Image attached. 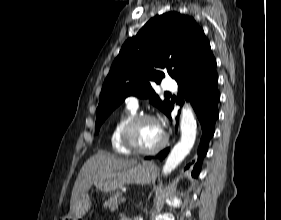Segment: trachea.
<instances>
[{
    "label": "trachea",
    "mask_w": 281,
    "mask_h": 220,
    "mask_svg": "<svg viewBox=\"0 0 281 220\" xmlns=\"http://www.w3.org/2000/svg\"><path fill=\"white\" fill-rule=\"evenodd\" d=\"M166 95H171L170 93H166Z\"/></svg>",
    "instance_id": "1"
}]
</instances>
